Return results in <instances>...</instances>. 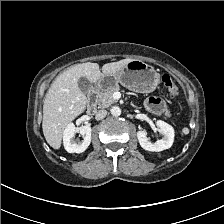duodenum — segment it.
Masks as SVG:
<instances>
[{
    "mask_svg": "<svg viewBox=\"0 0 224 224\" xmlns=\"http://www.w3.org/2000/svg\"><path fill=\"white\" fill-rule=\"evenodd\" d=\"M96 95H97V90L96 89H92L89 93V103L87 106V111L86 114L87 115H91L93 114L94 110H95V99H96Z\"/></svg>",
    "mask_w": 224,
    "mask_h": 224,
    "instance_id": "duodenum-1",
    "label": "duodenum"
}]
</instances>
